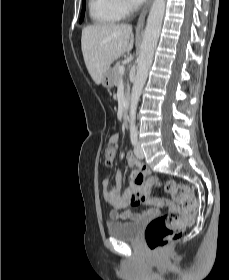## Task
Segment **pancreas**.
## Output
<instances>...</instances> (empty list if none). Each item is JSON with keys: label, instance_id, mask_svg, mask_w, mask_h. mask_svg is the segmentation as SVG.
<instances>
[{"label": "pancreas", "instance_id": "1", "mask_svg": "<svg viewBox=\"0 0 229 280\" xmlns=\"http://www.w3.org/2000/svg\"><path fill=\"white\" fill-rule=\"evenodd\" d=\"M122 66V63L118 61L114 67H113V72H114V84L118 85V83L121 80V73L119 71L120 67ZM127 90H129V84H127Z\"/></svg>", "mask_w": 229, "mask_h": 280}]
</instances>
